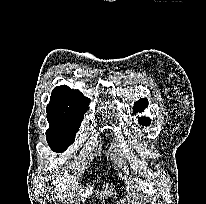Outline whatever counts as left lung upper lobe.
<instances>
[{
    "label": "left lung upper lobe",
    "mask_w": 206,
    "mask_h": 204,
    "mask_svg": "<svg viewBox=\"0 0 206 204\" xmlns=\"http://www.w3.org/2000/svg\"><path fill=\"white\" fill-rule=\"evenodd\" d=\"M148 106V101L145 98H141L139 99V101L134 103L133 106V112L137 113V112H142L144 111V109ZM139 120V124L143 125V126H148L150 125V119L149 118H145V117H141L138 119Z\"/></svg>",
    "instance_id": "1"
}]
</instances>
